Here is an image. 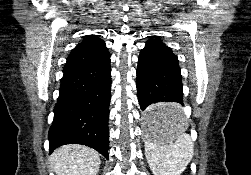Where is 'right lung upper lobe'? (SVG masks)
<instances>
[{
    "instance_id": "cb5924a9",
    "label": "right lung upper lobe",
    "mask_w": 251,
    "mask_h": 175,
    "mask_svg": "<svg viewBox=\"0 0 251 175\" xmlns=\"http://www.w3.org/2000/svg\"><path fill=\"white\" fill-rule=\"evenodd\" d=\"M108 55L104 41L95 35H89L71 51L64 68L98 62Z\"/></svg>"
}]
</instances>
